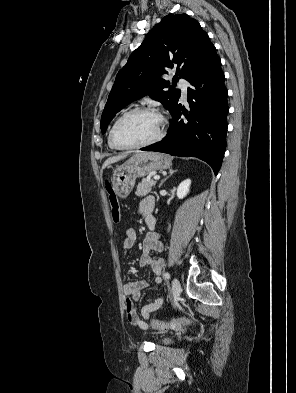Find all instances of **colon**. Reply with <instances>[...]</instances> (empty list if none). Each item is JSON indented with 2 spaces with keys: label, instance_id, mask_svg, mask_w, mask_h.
I'll use <instances>...</instances> for the list:
<instances>
[{
  "label": "colon",
  "instance_id": "obj_1",
  "mask_svg": "<svg viewBox=\"0 0 296 393\" xmlns=\"http://www.w3.org/2000/svg\"><path fill=\"white\" fill-rule=\"evenodd\" d=\"M106 190L109 195V203H110L112 218H113L114 222L118 223L120 221V207H119L117 197L115 195V192H114L113 187L110 182H106ZM151 324L154 328H156L160 331H166V330L174 329V328L184 326V325H191L192 321L179 318V319H173L169 322L152 320Z\"/></svg>",
  "mask_w": 296,
  "mask_h": 393
}]
</instances>
